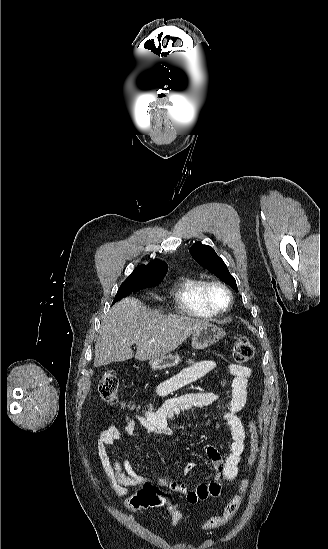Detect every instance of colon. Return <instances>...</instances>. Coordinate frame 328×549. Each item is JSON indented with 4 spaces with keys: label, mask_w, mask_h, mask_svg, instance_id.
<instances>
[{
    "label": "colon",
    "mask_w": 328,
    "mask_h": 549,
    "mask_svg": "<svg viewBox=\"0 0 328 549\" xmlns=\"http://www.w3.org/2000/svg\"><path fill=\"white\" fill-rule=\"evenodd\" d=\"M254 352V346L247 337H240L233 343L232 357L238 364L248 362L253 357ZM118 391L119 380L117 375L112 371L104 373L98 386L100 397L104 401L114 404L118 402ZM257 450V428L255 422L251 421L249 424V453L247 456L248 467L253 465L257 455ZM247 485L248 480L243 479L238 493L226 504L222 515L209 518L203 523L202 529L209 531L227 525L238 512L247 489ZM166 495L168 494L164 492L163 488L147 482L129 499L126 507L131 512L165 507L171 517L172 524L174 526H180L184 521V516L176 509L175 506L166 503Z\"/></svg>",
    "instance_id": "obj_1"
}]
</instances>
